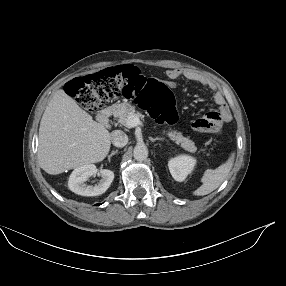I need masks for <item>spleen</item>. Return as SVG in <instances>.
<instances>
[{
    "label": "spleen",
    "mask_w": 286,
    "mask_h": 286,
    "mask_svg": "<svg viewBox=\"0 0 286 286\" xmlns=\"http://www.w3.org/2000/svg\"><path fill=\"white\" fill-rule=\"evenodd\" d=\"M234 157L235 154L232 153L229 159L216 169H207L201 178L202 185L197 188L193 194L197 196H204L217 189L227 178L233 166Z\"/></svg>",
    "instance_id": "spleen-1"
}]
</instances>
